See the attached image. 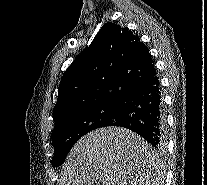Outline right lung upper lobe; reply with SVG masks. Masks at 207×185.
Listing matches in <instances>:
<instances>
[{"instance_id": "1", "label": "right lung upper lobe", "mask_w": 207, "mask_h": 185, "mask_svg": "<svg viewBox=\"0 0 207 185\" xmlns=\"http://www.w3.org/2000/svg\"><path fill=\"white\" fill-rule=\"evenodd\" d=\"M156 76L148 48L128 28L107 22L61 78L53 115L55 124L125 95Z\"/></svg>"}]
</instances>
